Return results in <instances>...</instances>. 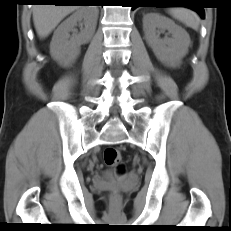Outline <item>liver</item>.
I'll use <instances>...</instances> for the list:
<instances>
[{"instance_id": "6515ba94", "label": "liver", "mask_w": 231, "mask_h": 231, "mask_svg": "<svg viewBox=\"0 0 231 231\" xmlns=\"http://www.w3.org/2000/svg\"><path fill=\"white\" fill-rule=\"evenodd\" d=\"M79 8L75 5H35L33 22L38 36L47 37L68 14Z\"/></svg>"}]
</instances>
